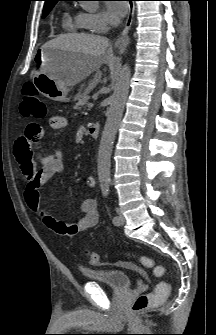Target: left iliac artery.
<instances>
[{
  "instance_id": "44dca946",
  "label": "left iliac artery",
  "mask_w": 216,
  "mask_h": 335,
  "mask_svg": "<svg viewBox=\"0 0 216 335\" xmlns=\"http://www.w3.org/2000/svg\"><path fill=\"white\" fill-rule=\"evenodd\" d=\"M102 194L104 197H108L110 193V183H104L101 185ZM119 220L118 216L112 218L113 223H116Z\"/></svg>"
}]
</instances>
